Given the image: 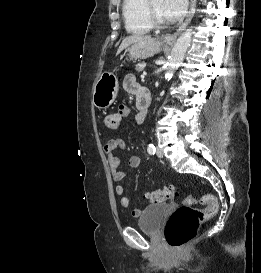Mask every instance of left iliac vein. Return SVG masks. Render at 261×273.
I'll use <instances>...</instances> for the list:
<instances>
[{
  "mask_svg": "<svg viewBox=\"0 0 261 273\" xmlns=\"http://www.w3.org/2000/svg\"><path fill=\"white\" fill-rule=\"evenodd\" d=\"M156 155L158 157H160V158H162L164 156V153H163V151H162L161 148L157 147V149H156Z\"/></svg>",
  "mask_w": 261,
  "mask_h": 273,
  "instance_id": "obj_1",
  "label": "left iliac vein"
}]
</instances>
